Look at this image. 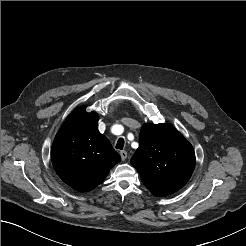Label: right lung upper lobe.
<instances>
[{"mask_svg": "<svg viewBox=\"0 0 246 246\" xmlns=\"http://www.w3.org/2000/svg\"><path fill=\"white\" fill-rule=\"evenodd\" d=\"M59 177L80 192L93 190L103 182L120 155L98 131V115L85 107L75 109L59 129L51 150Z\"/></svg>", "mask_w": 246, "mask_h": 246, "instance_id": "right-lung-upper-lobe-1", "label": "right lung upper lobe"}]
</instances>
